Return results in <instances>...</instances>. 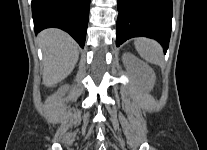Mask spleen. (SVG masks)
<instances>
[{
    "label": "spleen",
    "instance_id": "obj_1",
    "mask_svg": "<svg viewBox=\"0 0 207 150\" xmlns=\"http://www.w3.org/2000/svg\"><path fill=\"white\" fill-rule=\"evenodd\" d=\"M134 45L139 55L147 62L161 65L162 48L156 41L147 38H137Z\"/></svg>",
    "mask_w": 207,
    "mask_h": 150
}]
</instances>
